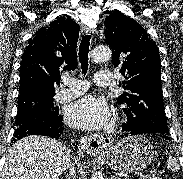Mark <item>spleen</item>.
Here are the masks:
<instances>
[{
  "label": "spleen",
  "instance_id": "3e777b00",
  "mask_svg": "<svg viewBox=\"0 0 183 179\" xmlns=\"http://www.w3.org/2000/svg\"><path fill=\"white\" fill-rule=\"evenodd\" d=\"M167 164L173 172H177L179 170V163L173 156H169V158L167 159Z\"/></svg>",
  "mask_w": 183,
  "mask_h": 179
}]
</instances>
